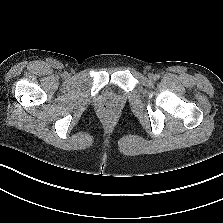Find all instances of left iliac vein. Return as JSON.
<instances>
[{"instance_id": "left-iliac-vein-1", "label": "left iliac vein", "mask_w": 223, "mask_h": 223, "mask_svg": "<svg viewBox=\"0 0 223 223\" xmlns=\"http://www.w3.org/2000/svg\"><path fill=\"white\" fill-rule=\"evenodd\" d=\"M148 78H149L150 80H155V75L152 74V73H150V74L148 75Z\"/></svg>"}]
</instances>
